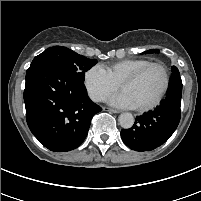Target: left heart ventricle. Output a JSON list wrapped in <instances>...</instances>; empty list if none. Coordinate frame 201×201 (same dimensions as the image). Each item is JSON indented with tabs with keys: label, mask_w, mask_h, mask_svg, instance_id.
<instances>
[{
	"label": "left heart ventricle",
	"mask_w": 201,
	"mask_h": 201,
	"mask_svg": "<svg viewBox=\"0 0 201 201\" xmlns=\"http://www.w3.org/2000/svg\"><path fill=\"white\" fill-rule=\"evenodd\" d=\"M164 83V75L159 67H150L137 80L125 85L126 93L134 106H142L152 102L159 94Z\"/></svg>",
	"instance_id": "obj_1"
}]
</instances>
